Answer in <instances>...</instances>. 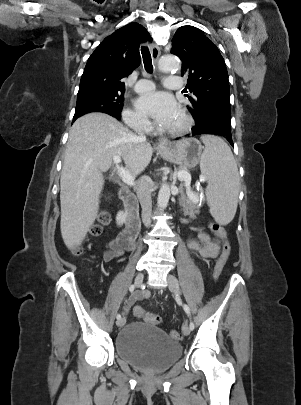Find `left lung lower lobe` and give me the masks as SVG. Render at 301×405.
<instances>
[{
  "label": "left lung lower lobe",
  "mask_w": 301,
  "mask_h": 405,
  "mask_svg": "<svg viewBox=\"0 0 301 405\" xmlns=\"http://www.w3.org/2000/svg\"><path fill=\"white\" fill-rule=\"evenodd\" d=\"M193 117L195 119V126L193 127L191 132L192 136L204 134L222 136L226 138L228 142L233 146L231 135V120L218 116L197 118L193 115Z\"/></svg>",
  "instance_id": "left-lung-lower-lobe-1"
}]
</instances>
